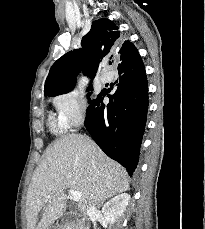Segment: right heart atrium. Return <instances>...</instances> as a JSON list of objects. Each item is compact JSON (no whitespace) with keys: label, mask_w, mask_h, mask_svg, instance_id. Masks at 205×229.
Returning <instances> with one entry per match:
<instances>
[{"label":"right heart atrium","mask_w":205,"mask_h":229,"mask_svg":"<svg viewBox=\"0 0 205 229\" xmlns=\"http://www.w3.org/2000/svg\"><path fill=\"white\" fill-rule=\"evenodd\" d=\"M59 121L66 129L79 128L86 120L87 103L76 92H66L54 98Z\"/></svg>","instance_id":"1"}]
</instances>
